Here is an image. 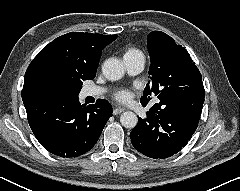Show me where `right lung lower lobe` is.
<instances>
[{
  "label": "right lung lower lobe",
  "instance_id": "right-lung-lower-lobe-1",
  "mask_svg": "<svg viewBox=\"0 0 240 191\" xmlns=\"http://www.w3.org/2000/svg\"><path fill=\"white\" fill-rule=\"evenodd\" d=\"M23 102L39 143L60 157H77L91 150L113 112L103 99L87 107L78 97L36 96Z\"/></svg>",
  "mask_w": 240,
  "mask_h": 191
}]
</instances>
